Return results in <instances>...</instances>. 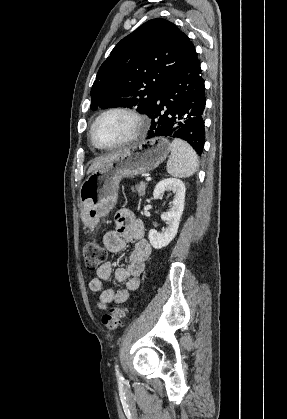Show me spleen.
I'll list each match as a JSON object with an SVG mask.
<instances>
[{"instance_id":"1","label":"spleen","mask_w":287,"mask_h":419,"mask_svg":"<svg viewBox=\"0 0 287 419\" xmlns=\"http://www.w3.org/2000/svg\"><path fill=\"white\" fill-rule=\"evenodd\" d=\"M170 148L171 156L167 162V172L179 178L192 176L199 167L198 156L193 148L180 139H174Z\"/></svg>"}]
</instances>
